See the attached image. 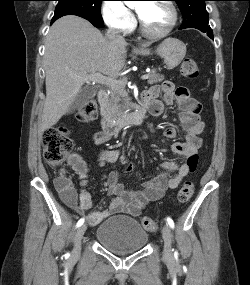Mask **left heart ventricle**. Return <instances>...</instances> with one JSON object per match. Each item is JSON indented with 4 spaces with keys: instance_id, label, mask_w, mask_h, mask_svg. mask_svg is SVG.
<instances>
[{
    "instance_id": "left-heart-ventricle-1",
    "label": "left heart ventricle",
    "mask_w": 250,
    "mask_h": 285,
    "mask_svg": "<svg viewBox=\"0 0 250 285\" xmlns=\"http://www.w3.org/2000/svg\"><path fill=\"white\" fill-rule=\"evenodd\" d=\"M136 8L146 29L150 32L161 33L171 22V12L161 2H141Z\"/></svg>"
}]
</instances>
